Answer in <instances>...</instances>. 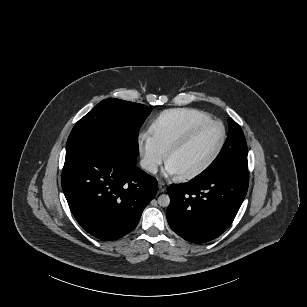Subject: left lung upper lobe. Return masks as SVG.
<instances>
[{"label": "left lung upper lobe", "instance_id": "1", "mask_svg": "<svg viewBox=\"0 0 307 307\" xmlns=\"http://www.w3.org/2000/svg\"><path fill=\"white\" fill-rule=\"evenodd\" d=\"M229 133L227 140L215 160L195 178L218 171L236 169L247 172V144L241 127L232 119H228Z\"/></svg>", "mask_w": 307, "mask_h": 307}]
</instances>
